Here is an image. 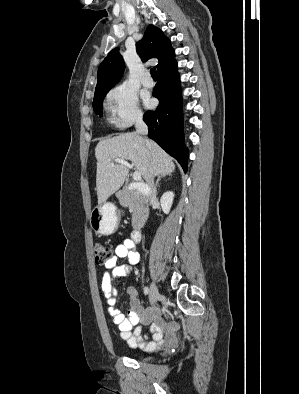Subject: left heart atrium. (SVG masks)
I'll return each instance as SVG.
<instances>
[{
	"label": "left heart atrium",
	"instance_id": "1",
	"mask_svg": "<svg viewBox=\"0 0 299 394\" xmlns=\"http://www.w3.org/2000/svg\"><path fill=\"white\" fill-rule=\"evenodd\" d=\"M145 102H146V105L149 106V107L152 105V102H151V100H149V99H146Z\"/></svg>",
	"mask_w": 299,
	"mask_h": 394
}]
</instances>
